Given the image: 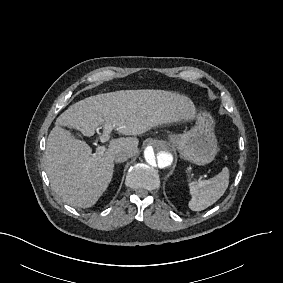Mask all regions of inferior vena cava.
Returning <instances> with one entry per match:
<instances>
[{
    "instance_id": "inferior-vena-cava-1",
    "label": "inferior vena cava",
    "mask_w": 283,
    "mask_h": 283,
    "mask_svg": "<svg viewBox=\"0 0 283 283\" xmlns=\"http://www.w3.org/2000/svg\"><path fill=\"white\" fill-rule=\"evenodd\" d=\"M134 156V151L131 150L130 148H118L115 153H114V161L116 163H123L127 159L131 158Z\"/></svg>"
}]
</instances>
